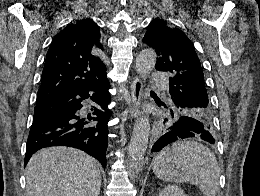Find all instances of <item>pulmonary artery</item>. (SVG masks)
I'll list each match as a JSON object with an SVG mask.
<instances>
[{
    "label": "pulmonary artery",
    "mask_w": 260,
    "mask_h": 196,
    "mask_svg": "<svg viewBox=\"0 0 260 196\" xmlns=\"http://www.w3.org/2000/svg\"><path fill=\"white\" fill-rule=\"evenodd\" d=\"M149 84H167V79L162 76V72H151Z\"/></svg>",
    "instance_id": "pulmonary-artery-1"
}]
</instances>
